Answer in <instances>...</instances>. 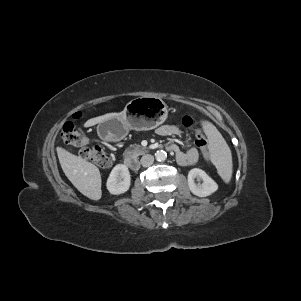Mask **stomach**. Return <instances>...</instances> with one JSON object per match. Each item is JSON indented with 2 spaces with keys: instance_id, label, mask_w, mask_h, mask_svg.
<instances>
[{
  "instance_id": "0dacf381",
  "label": "stomach",
  "mask_w": 301,
  "mask_h": 301,
  "mask_svg": "<svg viewBox=\"0 0 301 301\" xmlns=\"http://www.w3.org/2000/svg\"><path fill=\"white\" fill-rule=\"evenodd\" d=\"M167 118V108L157 97H138L131 100L124 113L108 119L98 126V134L109 141H119L129 130H151L162 124Z\"/></svg>"
}]
</instances>
